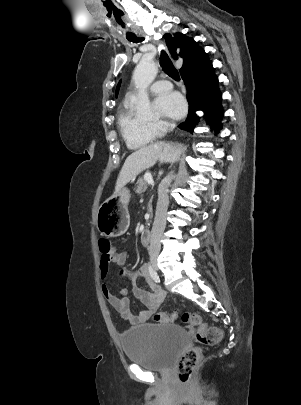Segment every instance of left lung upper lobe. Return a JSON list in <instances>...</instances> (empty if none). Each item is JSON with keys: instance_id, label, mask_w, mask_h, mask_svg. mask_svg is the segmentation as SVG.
<instances>
[{"instance_id": "5c2ea615", "label": "left lung upper lobe", "mask_w": 301, "mask_h": 405, "mask_svg": "<svg viewBox=\"0 0 301 405\" xmlns=\"http://www.w3.org/2000/svg\"><path fill=\"white\" fill-rule=\"evenodd\" d=\"M119 88H120V82H119V84L117 85V88H116V96L118 95Z\"/></svg>"}]
</instances>
